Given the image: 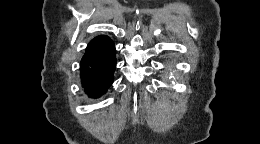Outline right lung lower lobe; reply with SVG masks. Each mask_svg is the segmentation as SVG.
Listing matches in <instances>:
<instances>
[{
    "label": "right lung lower lobe",
    "mask_w": 260,
    "mask_h": 144,
    "mask_svg": "<svg viewBox=\"0 0 260 144\" xmlns=\"http://www.w3.org/2000/svg\"><path fill=\"white\" fill-rule=\"evenodd\" d=\"M115 67L113 41L104 35L91 40L80 63L81 83L88 96L98 98L107 92L114 80Z\"/></svg>",
    "instance_id": "right-lung-lower-lobe-1"
}]
</instances>
